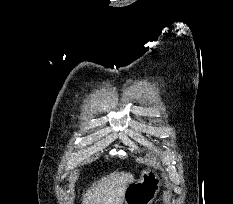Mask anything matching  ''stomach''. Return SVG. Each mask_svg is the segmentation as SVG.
Listing matches in <instances>:
<instances>
[{
    "mask_svg": "<svg viewBox=\"0 0 233 204\" xmlns=\"http://www.w3.org/2000/svg\"><path fill=\"white\" fill-rule=\"evenodd\" d=\"M161 186V178L154 169L146 168L138 180L126 187L123 204H151Z\"/></svg>",
    "mask_w": 233,
    "mask_h": 204,
    "instance_id": "stomach-1",
    "label": "stomach"
}]
</instances>
